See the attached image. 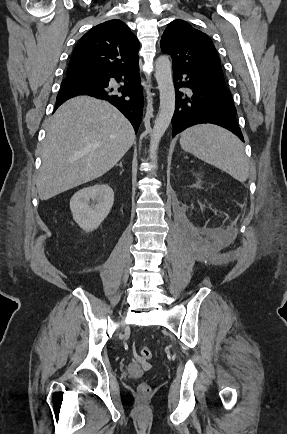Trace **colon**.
Here are the masks:
<instances>
[{"instance_id": "1", "label": "colon", "mask_w": 287, "mask_h": 434, "mask_svg": "<svg viewBox=\"0 0 287 434\" xmlns=\"http://www.w3.org/2000/svg\"><path fill=\"white\" fill-rule=\"evenodd\" d=\"M137 357L139 360L142 361H148L151 359L152 357V352L151 349L149 347H142L139 349L138 353H137ZM150 393V387L147 383H142L139 385L138 387V394L140 397H147Z\"/></svg>"}]
</instances>
